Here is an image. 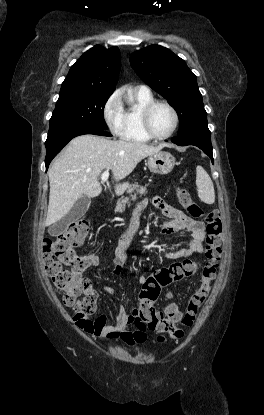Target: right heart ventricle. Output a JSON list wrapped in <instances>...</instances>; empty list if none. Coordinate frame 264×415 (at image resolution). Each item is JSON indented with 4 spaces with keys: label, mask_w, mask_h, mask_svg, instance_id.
<instances>
[{
    "label": "right heart ventricle",
    "mask_w": 264,
    "mask_h": 415,
    "mask_svg": "<svg viewBox=\"0 0 264 415\" xmlns=\"http://www.w3.org/2000/svg\"><path fill=\"white\" fill-rule=\"evenodd\" d=\"M135 103L124 109V123L120 133L123 140L130 142H149L151 139L143 132L140 112L148 103L154 100L151 92L135 91Z\"/></svg>",
    "instance_id": "right-heart-ventricle-1"
}]
</instances>
